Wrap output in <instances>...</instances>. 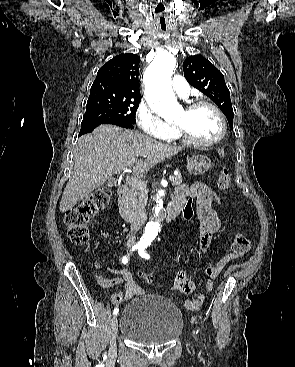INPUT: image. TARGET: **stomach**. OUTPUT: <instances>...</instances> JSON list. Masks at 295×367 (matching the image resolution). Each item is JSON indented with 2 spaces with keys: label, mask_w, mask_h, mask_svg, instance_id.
<instances>
[{
  "label": "stomach",
  "mask_w": 295,
  "mask_h": 367,
  "mask_svg": "<svg viewBox=\"0 0 295 367\" xmlns=\"http://www.w3.org/2000/svg\"><path fill=\"white\" fill-rule=\"evenodd\" d=\"M186 168L190 174L202 175L211 168V161L207 156L197 154L187 160Z\"/></svg>",
  "instance_id": "obj_1"
}]
</instances>
